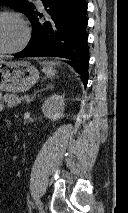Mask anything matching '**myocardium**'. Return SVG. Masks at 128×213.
<instances>
[{"label": "myocardium", "instance_id": "f54148a6", "mask_svg": "<svg viewBox=\"0 0 128 213\" xmlns=\"http://www.w3.org/2000/svg\"><path fill=\"white\" fill-rule=\"evenodd\" d=\"M0 16L14 17L15 19H17L20 22V24L23 28V37H22L21 41L19 42V44L10 49L0 50V55H10V54H15V53L20 52L27 46V44L30 40L31 31H30V26H29L28 21L25 19L23 14H21L18 11L12 10V9L0 10Z\"/></svg>", "mask_w": 128, "mask_h": 213}]
</instances>
